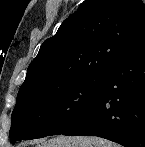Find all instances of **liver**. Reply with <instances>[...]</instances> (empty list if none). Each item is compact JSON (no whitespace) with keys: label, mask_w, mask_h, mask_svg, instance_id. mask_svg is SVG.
<instances>
[{"label":"liver","mask_w":145,"mask_h":147,"mask_svg":"<svg viewBox=\"0 0 145 147\" xmlns=\"http://www.w3.org/2000/svg\"><path fill=\"white\" fill-rule=\"evenodd\" d=\"M37 147H119V145L99 137L60 135L38 144Z\"/></svg>","instance_id":"liver-1"}]
</instances>
